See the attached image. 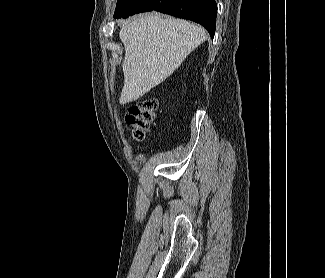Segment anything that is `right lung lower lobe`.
I'll return each mask as SVG.
<instances>
[{
    "label": "right lung lower lobe",
    "mask_w": 325,
    "mask_h": 278,
    "mask_svg": "<svg viewBox=\"0 0 325 278\" xmlns=\"http://www.w3.org/2000/svg\"><path fill=\"white\" fill-rule=\"evenodd\" d=\"M152 10L199 23L214 37L217 16L215 0H135L134 9L128 16Z\"/></svg>",
    "instance_id": "98d812e1"
}]
</instances>
